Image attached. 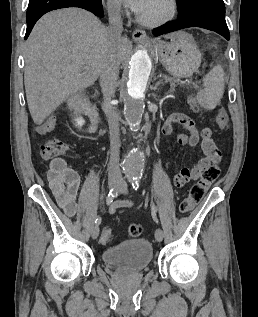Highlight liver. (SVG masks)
Here are the masks:
<instances>
[{"instance_id":"liver-1","label":"liver","mask_w":258,"mask_h":317,"mask_svg":"<svg viewBox=\"0 0 258 317\" xmlns=\"http://www.w3.org/2000/svg\"><path fill=\"white\" fill-rule=\"evenodd\" d=\"M107 28L83 8L52 10L37 20L24 46V82L36 124L63 100L97 80L107 50ZM175 32L164 38H174ZM130 42L121 36L117 56L122 62Z\"/></svg>"}]
</instances>
